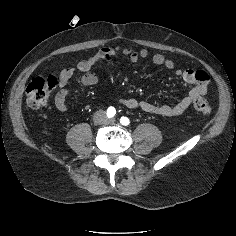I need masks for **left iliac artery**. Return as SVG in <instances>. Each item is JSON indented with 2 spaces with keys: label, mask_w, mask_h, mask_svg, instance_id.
I'll return each mask as SVG.
<instances>
[{
  "label": "left iliac artery",
  "mask_w": 236,
  "mask_h": 236,
  "mask_svg": "<svg viewBox=\"0 0 236 236\" xmlns=\"http://www.w3.org/2000/svg\"><path fill=\"white\" fill-rule=\"evenodd\" d=\"M120 123L122 124V125H129V123H130V120L127 118V117H124V116H122L121 118H120Z\"/></svg>",
  "instance_id": "left-iliac-artery-1"
}]
</instances>
